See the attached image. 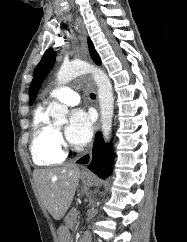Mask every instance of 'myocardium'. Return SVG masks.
Listing matches in <instances>:
<instances>
[{"label":"myocardium","mask_w":187,"mask_h":242,"mask_svg":"<svg viewBox=\"0 0 187 242\" xmlns=\"http://www.w3.org/2000/svg\"><path fill=\"white\" fill-rule=\"evenodd\" d=\"M55 130H56L57 134H59V133H60V131H59V130H57V129H55Z\"/></svg>","instance_id":"1"}]
</instances>
